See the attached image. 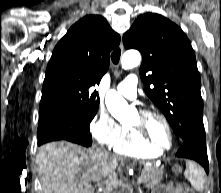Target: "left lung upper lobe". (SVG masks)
I'll use <instances>...</instances> for the list:
<instances>
[{"mask_svg": "<svg viewBox=\"0 0 221 193\" xmlns=\"http://www.w3.org/2000/svg\"><path fill=\"white\" fill-rule=\"evenodd\" d=\"M123 43L142 53L140 76L145 92L178 137L184 140L204 132L195 53L180 27L161 15L145 13L124 34Z\"/></svg>", "mask_w": 221, "mask_h": 193, "instance_id": "5c2ea615", "label": "left lung upper lobe"}]
</instances>
